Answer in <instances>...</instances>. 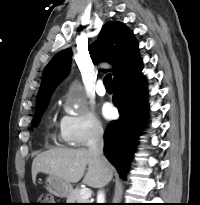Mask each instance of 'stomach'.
<instances>
[{
    "mask_svg": "<svg viewBox=\"0 0 200 205\" xmlns=\"http://www.w3.org/2000/svg\"><path fill=\"white\" fill-rule=\"evenodd\" d=\"M46 189L53 195L64 198L69 195L72 190L71 184L64 181L62 178L57 176L49 175L46 180Z\"/></svg>",
    "mask_w": 200,
    "mask_h": 205,
    "instance_id": "obj_1",
    "label": "stomach"
}]
</instances>
